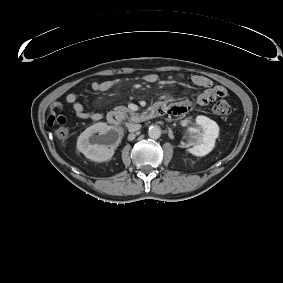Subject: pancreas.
<instances>
[{
  "label": "pancreas",
  "mask_w": 283,
  "mask_h": 283,
  "mask_svg": "<svg viewBox=\"0 0 283 283\" xmlns=\"http://www.w3.org/2000/svg\"><path fill=\"white\" fill-rule=\"evenodd\" d=\"M114 113L121 118H127L130 115L129 120L138 122L141 120V116L138 113H135L128 109L125 106H118L114 108Z\"/></svg>",
  "instance_id": "obj_1"
}]
</instances>
